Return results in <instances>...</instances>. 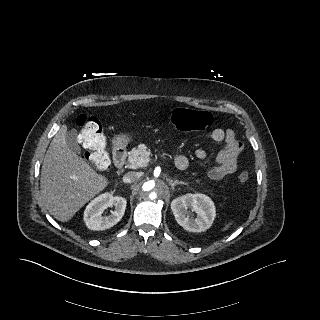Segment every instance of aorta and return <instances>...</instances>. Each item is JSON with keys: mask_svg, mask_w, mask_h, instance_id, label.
Instances as JSON below:
<instances>
[{"mask_svg": "<svg viewBox=\"0 0 320 320\" xmlns=\"http://www.w3.org/2000/svg\"><path fill=\"white\" fill-rule=\"evenodd\" d=\"M161 179L151 178L141 185V194L146 201H155L161 196V189L164 187Z\"/></svg>", "mask_w": 320, "mask_h": 320, "instance_id": "1", "label": "aorta"}]
</instances>
